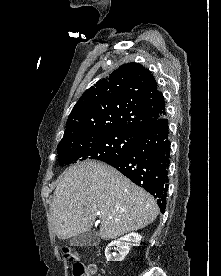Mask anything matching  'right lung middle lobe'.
<instances>
[{"label":"right lung middle lobe","mask_w":221,"mask_h":276,"mask_svg":"<svg viewBox=\"0 0 221 276\" xmlns=\"http://www.w3.org/2000/svg\"><path fill=\"white\" fill-rule=\"evenodd\" d=\"M137 137L123 132L94 134L79 140L60 142L58 162L68 165L86 159L108 161L132 149Z\"/></svg>","instance_id":"1"}]
</instances>
